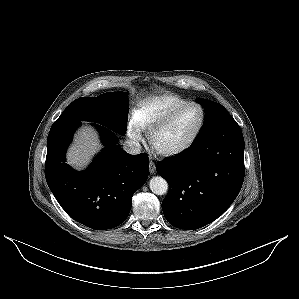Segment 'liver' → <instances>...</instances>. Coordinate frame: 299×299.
<instances>
[{"label": "liver", "instance_id": "1", "mask_svg": "<svg viewBox=\"0 0 299 299\" xmlns=\"http://www.w3.org/2000/svg\"><path fill=\"white\" fill-rule=\"evenodd\" d=\"M100 148L96 133L91 128L84 127L75 135L74 144L68 150V164L78 170L84 169Z\"/></svg>", "mask_w": 299, "mask_h": 299}]
</instances>
